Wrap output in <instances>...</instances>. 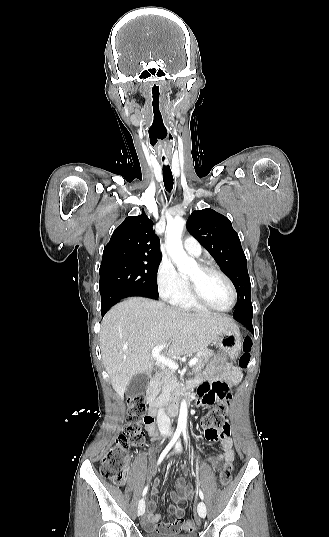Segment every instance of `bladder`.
I'll use <instances>...</instances> for the list:
<instances>
[{
    "mask_svg": "<svg viewBox=\"0 0 329 537\" xmlns=\"http://www.w3.org/2000/svg\"><path fill=\"white\" fill-rule=\"evenodd\" d=\"M144 537H198V536L195 533L170 534V533L147 532Z\"/></svg>",
    "mask_w": 329,
    "mask_h": 537,
    "instance_id": "1",
    "label": "bladder"
}]
</instances>
